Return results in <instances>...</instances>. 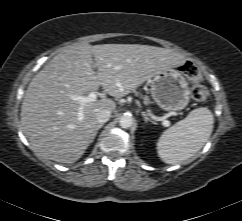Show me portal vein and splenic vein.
Returning a JSON list of instances; mask_svg holds the SVG:
<instances>
[{"instance_id":"portal-vein-and-splenic-vein-1","label":"portal vein and splenic vein","mask_w":242,"mask_h":221,"mask_svg":"<svg viewBox=\"0 0 242 221\" xmlns=\"http://www.w3.org/2000/svg\"><path fill=\"white\" fill-rule=\"evenodd\" d=\"M71 99L74 100V101H78L80 103V105H81V107L79 109V113H78L79 121H81L83 119L82 106L85 103L96 101L97 100V94H96V92L92 91V92H90L88 94V96H76V95H73V96H71ZM163 125L168 127L170 125V122L167 121V120H164L163 121Z\"/></svg>"}]
</instances>
